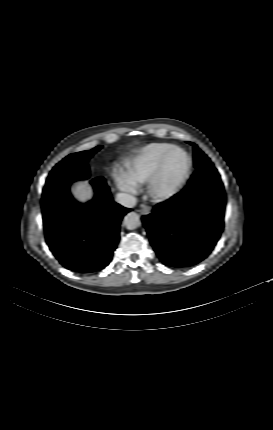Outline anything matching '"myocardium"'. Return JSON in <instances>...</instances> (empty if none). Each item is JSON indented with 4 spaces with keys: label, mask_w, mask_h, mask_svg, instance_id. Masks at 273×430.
I'll return each instance as SVG.
<instances>
[{
    "label": "myocardium",
    "mask_w": 273,
    "mask_h": 430,
    "mask_svg": "<svg viewBox=\"0 0 273 430\" xmlns=\"http://www.w3.org/2000/svg\"><path fill=\"white\" fill-rule=\"evenodd\" d=\"M180 152L186 159L187 165L181 177L170 186H163L162 178L165 170V165L173 152ZM192 159L190 155L179 146H172L164 152L160 158L154 172L148 180V189L151 196L156 200H168L176 196L186 184L192 170Z\"/></svg>",
    "instance_id": "f54148a6"
}]
</instances>
